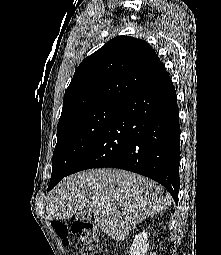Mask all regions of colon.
<instances>
[{"label":"colon","mask_w":221,"mask_h":255,"mask_svg":"<svg viewBox=\"0 0 221 255\" xmlns=\"http://www.w3.org/2000/svg\"><path fill=\"white\" fill-rule=\"evenodd\" d=\"M56 235L65 247L71 244L70 234L78 240V255H105L100 245V234L91 221L75 220L70 226L60 220L53 221Z\"/></svg>","instance_id":"colon-1"}]
</instances>
